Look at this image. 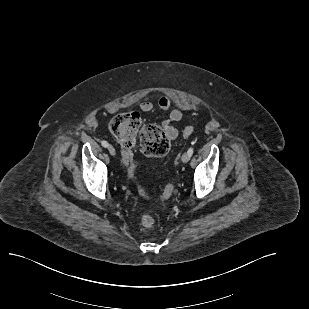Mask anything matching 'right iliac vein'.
Here are the masks:
<instances>
[{
    "instance_id": "obj_1",
    "label": "right iliac vein",
    "mask_w": 309,
    "mask_h": 309,
    "mask_svg": "<svg viewBox=\"0 0 309 309\" xmlns=\"http://www.w3.org/2000/svg\"><path fill=\"white\" fill-rule=\"evenodd\" d=\"M108 151L109 153L114 156L116 154L115 148L113 146H108Z\"/></svg>"
}]
</instances>
